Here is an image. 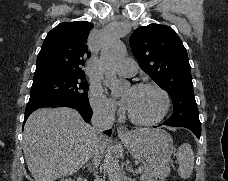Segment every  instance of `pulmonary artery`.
<instances>
[{"instance_id":"obj_1","label":"pulmonary artery","mask_w":228,"mask_h":181,"mask_svg":"<svg viewBox=\"0 0 228 181\" xmlns=\"http://www.w3.org/2000/svg\"><path fill=\"white\" fill-rule=\"evenodd\" d=\"M122 62H125V65H118V70H124V75H135L137 71V62H131L132 58H121Z\"/></svg>"}]
</instances>
